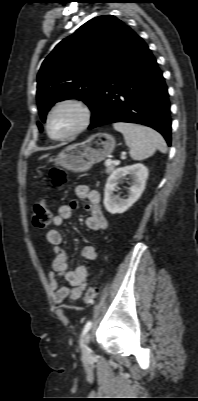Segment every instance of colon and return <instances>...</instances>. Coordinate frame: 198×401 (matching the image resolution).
Segmentation results:
<instances>
[{"mask_svg": "<svg viewBox=\"0 0 198 401\" xmlns=\"http://www.w3.org/2000/svg\"><path fill=\"white\" fill-rule=\"evenodd\" d=\"M50 179L53 185L61 187L66 183L65 173L58 168L50 169ZM52 220V212L45 202L38 203L33 208V223L37 228H46ZM96 296V289L93 286H89L85 296L84 302L86 304H91Z\"/></svg>", "mask_w": 198, "mask_h": 401, "instance_id": "1", "label": "colon"}]
</instances>
